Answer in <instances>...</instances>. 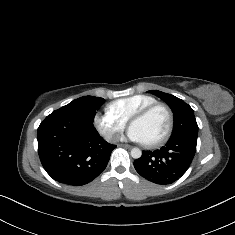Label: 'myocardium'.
Returning a JSON list of instances; mask_svg holds the SVG:
<instances>
[{
    "mask_svg": "<svg viewBox=\"0 0 235 235\" xmlns=\"http://www.w3.org/2000/svg\"><path fill=\"white\" fill-rule=\"evenodd\" d=\"M159 109L163 110L168 116V121H169L168 128H167L165 134L163 136H161L160 138H158L155 141L150 142V143H143V146L148 149H152V148H155V147L162 145L171 137L173 130H174V125H175V119H174V114H173L172 110L165 104L155 103V104H152V105L142 109L138 113H136L131 118V121H130V124L132 125V123L134 121L146 118L152 112H154L155 110H159Z\"/></svg>",
    "mask_w": 235,
    "mask_h": 235,
    "instance_id": "obj_1",
    "label": "myocardium"
}]
</instances>
